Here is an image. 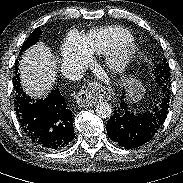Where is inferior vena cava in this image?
Masks as SVG:
<instances>
[{"mask_svg":"<svg viewBox=\"0 0 183 183\" xmlns=\"http://www.w3.org/2000/svg\"><path fill=\"white\" fill-rule=\"evenodd\" d=\"M61 72L63 76H65L69 80H79L83 76L82 68L75 63H67L65 64Z\"/></svg>","mask_w":183,"mask_h":183,"instance_id":"inferior-vena-cava-1","label":"inferior vena cava"}]
</instances>
